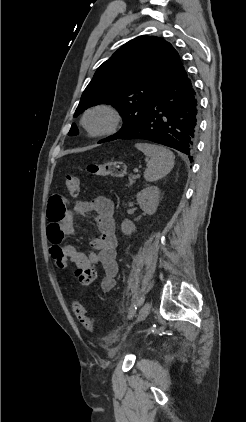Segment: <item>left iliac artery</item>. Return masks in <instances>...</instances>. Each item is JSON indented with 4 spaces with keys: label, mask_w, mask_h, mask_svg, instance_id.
<instances>
[{
    "label": "left iliac artery",
    "mask_w": 246,
    "mask_h": 422,
    "mask_svg": "<svg viewBox=\"0 0 246 422\" xmlns=\"http://www.w3.org/2000/svg\"><path fill=\"white\" fill-rule=\"evenodd\" d=\"M136 310H137V304L133 303L129 308V312H128V318L129 319H131L135 315Z\"/></svg>",
    "instance_id": "left-iliac-artery-1"
}]
</instances>
